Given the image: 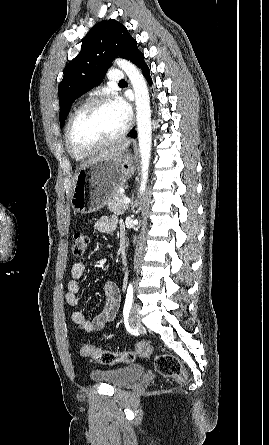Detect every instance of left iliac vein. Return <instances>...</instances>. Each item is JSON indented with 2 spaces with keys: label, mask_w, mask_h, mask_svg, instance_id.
I'll list each match as a JSON object with an SVG mask.
<instances>
[{
  "label": "left iliac vein",
  "mask_w": 269,
  "mask_h": 445,
  "mask_svg": "<svg viewBox=\"0 0 269 445\" xmlns=\"http://www.w3.org/2000/svg\"><path fill=\"white\" fill-rule=\"evenodd\" d=\"M139 310V305L137 303H134L129 314V323L130 326L133 328L137 327L141 323Z\"/></svg>",
  "instance_id": "obj_1"
}]
</instances>
